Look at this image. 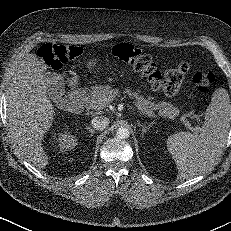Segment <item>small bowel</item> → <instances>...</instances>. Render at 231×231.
I'll return each instance as SVG.
<instances>
[{"instance_id": "1", "label": "small bowel", "mask_w": 231, "mask_h": 231, "mask_svg": "<svg viewBox=\"0 0 231 231\" xmlns=\"http://www.w3.org/2000/svg\"><path fill=\"white\" fill-rule=\"evenodd\" d=\"M151 87L153 88V90H159L160 86L157 84H151Z\"/></svg>"}]
</instances>
